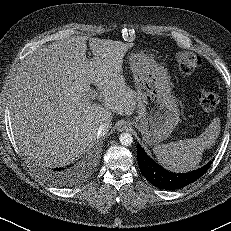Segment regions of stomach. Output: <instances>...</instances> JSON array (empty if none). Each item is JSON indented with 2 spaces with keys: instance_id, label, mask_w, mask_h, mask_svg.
Listing matches in <instances>:
<instances>
[{
  "instance_id": "1",
  "label": "stomach",
  "mask_w": 231,
  "mask_h": 231,
  "mask_svg": "<svg viewBox=\"0 0 231 231\" xmlns=\"http://www.w3.org/2000/svg\"><path fill=\"white\" fill-rule=\"evenodd\" d=\"M129 59L137 101L133 124L149 146L156 145L170 136L180 120L170 76L153 57L132 53Z\"/></svg>"
}]
</instances>
